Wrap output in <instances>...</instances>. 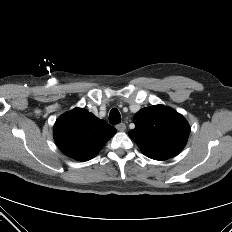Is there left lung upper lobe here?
Segmentation results:
<instances>
[{
	"label": "left lung upper lobe",
	"instance_id": "obj_1",
	"mask_svg": "<svg viewBox=\"0 0 232 232\" xmlns=\"http://www.w3.org/2000/svg\"><path fill=\"white\" fill-rule=\"evenodd\" d=\"M135 128L128 134L144 155L166 160L181 152L187 143L190 127L174 109L163 105L143 108L134 116Z\"/></svg>",
	"mask_w": 232,
	"mask_h": 232
}]
</instances>
